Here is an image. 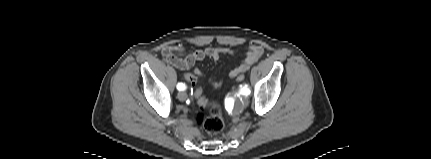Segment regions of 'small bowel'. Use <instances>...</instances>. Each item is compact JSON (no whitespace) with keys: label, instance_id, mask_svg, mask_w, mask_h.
I'll return each instance as SVG.
<instances>
[{"label":"small bowel","instance_id":"c3829d8e","mask_svg":"<svg viewBox=\"0 0 431 159\" xmlns=\"http://www.w3.org/2000/svg\"><path fill=\"white\" fill-rule=\"evenodd\" d=\"M185 49L182 45H168L162 49V56L165 62L168 64L180 69V70H188L191 68L197 61L203 60L205 57H210L214 60H218L222 55L229 54L233 55L234 51L228 47H207L204 49L195 50L187 55H183ZM264 49L260 45H250L247 49L244 60L241 64L234 67L229 75L232 78H237L240 72H246L247 69L254 64L258 59L262 56ZM194 73L196 78L201 75V71L199 69H195ZM213 87H218V82H212ZM195 94V91H194ZM203 96V90H202ZM197 98V97H196Z\"/></svg>","mask_w":431,"mask_h":159}]
</instances>
